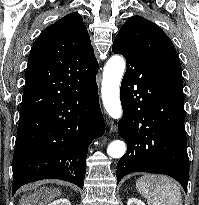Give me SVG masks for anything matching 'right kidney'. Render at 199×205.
<instances>
[{"instance_id": "obj_1", "label": "right kidney", "mask_w": 199, "mask_h": 205, "mask_svg": "<svg viewBox=\"0 0 199 205\" xmlns=\"http://www.w3.org/2000/svg\"><path fill=\"white\" fill-rule=\"evenodd\" d=\"M48 205H71V204H70L69 200H67L65 198H60L58 200L51 202Z\"/></svg>"}]
</instances>
